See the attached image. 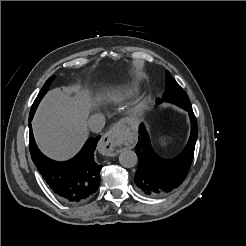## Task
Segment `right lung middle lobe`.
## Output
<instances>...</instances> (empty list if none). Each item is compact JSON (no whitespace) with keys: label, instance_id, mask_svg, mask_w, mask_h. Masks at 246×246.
I'll return each mask as SVG.
<instances>
[{"label":"right lung middle lobe","instance_id":"dd1d6c3e","mask_svg":"<svg viewBox=\"0 0 246 246\" xmlns=\"http://www.w3.org/2000/svg\"><path fill=\"white\" fill-rule=\"evenodd\" d=\"M54 78H55V76H52L45 82L44 86L42 87L41 91L39 92L38 96L36 97L32 107H31L30 115L34 116V113L37 109V106L39 105L43 96L47 93L49 86L51 85Z\"/></svg>","mask_w":246,"mask_h":246}]
</instances>
